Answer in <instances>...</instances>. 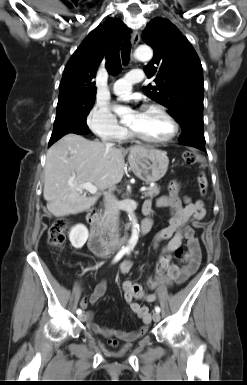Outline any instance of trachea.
<instances>
[{
	"label": "trachea",
	"mask_w": 247,
	"mask_h": 385,
	"mask_svg": "<svg viewBox=\"0 0 247 385\" xmlns=\"http://www.w3.org/2000/svg\"><path fill=\"white\" fill-rule=\"evenodd\" d=\"M131 44L130 39L126 38L121 47V56L124 64H127L130 59Z\"/></svg>",
	"instance_id": "obj_1"
}]
</instances>
